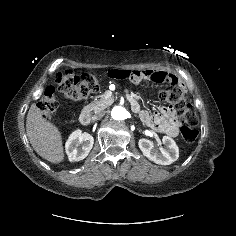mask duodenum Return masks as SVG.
<instances>
[{
	"label": "duodenum",
	"mask_w": 236,
	"mask_h": 236,
	"mask_svg": "<svg viewBox=\"0 0 236 236\" xmlns=\"http://www.w3.org/2000/svg\"><path fill=\"white\" fill-rule=\"evenodd\" d=\"M127 101L129 102V104L131 105L132 109L135 112L140 111L139 103L134 97L127 96ZM79 122L83 126H86L90 123V114L87 110H84V111L81 112V114L79 115Z\"/></svg>",
	"instance_id": "obj_1"
}]
</instances>
